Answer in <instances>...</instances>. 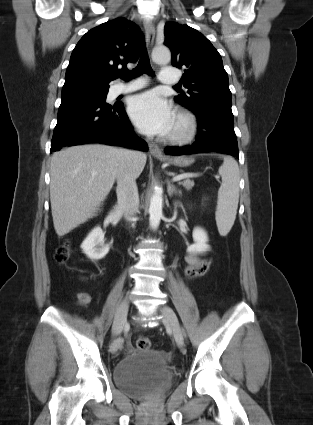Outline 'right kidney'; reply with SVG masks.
Here are the masks:
<instances>
[{
  "label": "right kidney",
  "instance_id": "ca27d5eb",
  "mask_svg": "<svg viewBox=\"0 0 313 425\" xmlns=\"http://www.w3.org/2000/svg\"><path fill=\"white\" fill-rule=\"evenodd\" d=\"M83 252L93 260L102 259L109 252V245L104 244V232L98 226L94 228L81 244Z\"/></svg>",
  "mask_w": 313,
  "mask_h": 425
}]
</instances>
